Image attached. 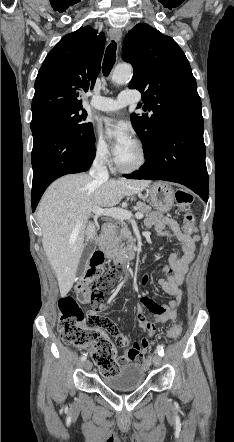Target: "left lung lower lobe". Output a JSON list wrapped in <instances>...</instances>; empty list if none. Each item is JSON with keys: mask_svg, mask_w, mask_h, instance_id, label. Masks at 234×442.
<instances>
[{"mask_svg": "<svg viewBox=\"0 0 234 442\" xmlns=\"http://www.w3.org/2000/svg\"><path fill=\"white\" fill-rule=\"evenodd\" d=\"M203 128L202 115L170 124L159 134L140 170L125 177L180 183L207 201L209 183Z\"/></svg>", "mask_w": 234, "mask_h": 442, "instance_id": "0a47b994", "label": "left lung lower lobe"}]
</instances>
